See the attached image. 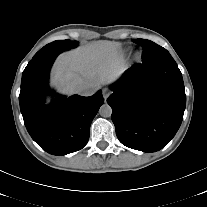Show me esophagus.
<instances>
[{
  "instance_id": "34e87169",
  "label": "esophagus",
  "mask_w": 207,
  "mask_h": 207,
  "mask_svg": "<svg viewBox=\"0 0 207 207\" xmlns=\"http://www.w3.org/2000/svg\"><path fill=\"white\" fill-rule=\"evenodd\" d=\"M103 97L105 100H107V98L111 95V91L107 88H104L102 91Z\"/></svg>"
}]
</instances>
